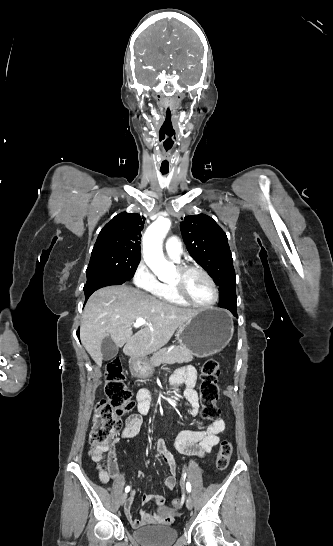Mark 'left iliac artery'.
<instances>
[{"label":"left iliac artery","mask_w":333,"mask_h":546,"mask_svg":"<svg viewBox=\"0 0 333 546\" xmlns=\"http://www.w3.org/2000/svg\"><path fill=\"white\" fill-rule=\"evenodd\" d=\"M186 489H187V491H188L189 493L191 492V484H190V482H187V484H186Z\"/></svg>","instance_id":"44dca946"}]
</instances>
